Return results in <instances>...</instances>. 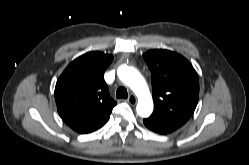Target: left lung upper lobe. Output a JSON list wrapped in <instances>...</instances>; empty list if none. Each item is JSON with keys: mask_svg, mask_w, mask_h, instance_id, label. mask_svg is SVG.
Instances as JSON below:
<instances>
[{"mask_svg": "<svg viewBox=\"0 0 249 165\" xmlns=\"http://www.w3.org/2000/svg\"><path fill=\"white\" fill-rule=\"evenodd\" d=\"M143 57L152 75L151 116L184 124L198 102L196 71L187 59L169 50H149Z\"/></svg>", "mask_w": 249, "mask_h": 165, "instance_id": "5c2ea615", "label": "left lung upper lobe"}]
</instances>
